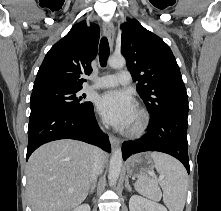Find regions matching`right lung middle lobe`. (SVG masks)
Masks as SVG:
<instances>
[{"instance_id": "right-lung-middle-lobe-1", "label": "right lung middle lobe", "mask_w": 221, "mask_h": 211, "mask_svg": "<svg viewBox=\"0 0 221 211\" xmlns=\"http://www.w3.org/2000/svg\"><path fill=\"white\" fill-rule=\"evenodd\" d=\"M81 89L47 88L33 91L30 99L31 114L47 109L83 110L92 103L80 96Z\"/></svg>"}]
</instances>
